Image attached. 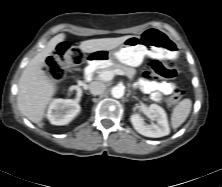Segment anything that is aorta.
Returning <instances> with one entry per match:
<instances>
[{"mask_svg":"<svg viewBox=\"0 0 222 187\" xmlns=\"http://www.w3.org/2000/svg\"><path fill=\"white\" fill-rule=\"evenodd\" d=\"M111 95L114 97V98H122L124 96V89L123 87L121 86H115L112 88L111 90Z\"/></svg>","mask_w":222,"mask_h":187,"instance_id":"762f6f07","label":"aorta"}]
</instances>
